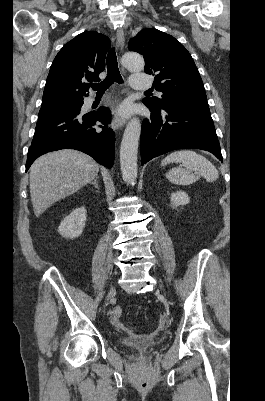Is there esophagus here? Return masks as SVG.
<instances>
[{"mask_svg":"<svg viewBox=\"0 0 265 401\" xmlns=\"http://www.w3.org/2000/svg\"><path fill=\"white\" fill-rule=\"evenodd\" d=\"M116 37H117L118 48L120 50H122L123 47H124V42H125L124 31H123L122 28H118L117 29ZM122 71H124L123 68H122ZM125 124H126V120L124 118H122L121 116H115L113 118L111 126H112V128H114V130H117V129L122 128L123 126H125Z\"/></svg>","mask_w":265,"mask_h":401,"instance_id":"34e87169","label":"esophagus"}]
</instances>
